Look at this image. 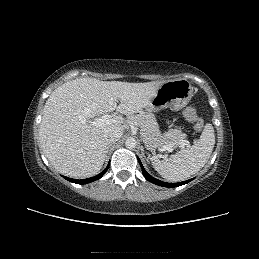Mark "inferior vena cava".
<instances>
[{"instance_id": "obj_1", "label": "inferior vena cava", "mask_w": 259, "mask_h": 259, "mask_svg": "<svg viewBox=\"0 0 259 259\" xmlns=\"http://www.w3.org/2000/svg\"><path fill=\"white\" fill-rule=\"evenodd\" d=\"M122 134L120 130H112L105 135V140L109 144L114 143L121 138Z\"/></svg>"}]
</instances>
